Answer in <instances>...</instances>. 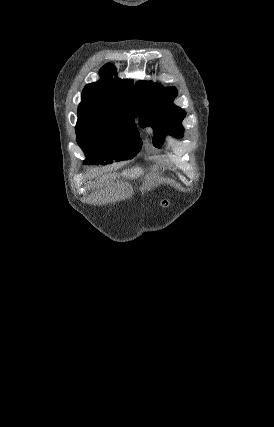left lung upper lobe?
<instances>
[{"label": "left lung upper lobe", "mask_w": 274, "mask_h": 427, "mask_svg": "<svg viewBox=\"0 0 274 427\" xmlns=\"http://www.w3.org/2000/svg\"><path fill=\"white\" fill-rule=\"evenodd\" d=\"M177 95L175 87H162L160 84L141 81L135 86V98L139 106V124L151 126L154 130V144L161 147L166 134L181 137V121L186 113L172 104Z\"/></svg>", "instance_id": "left-lung-upper-lobe-1"}]
</instances>
